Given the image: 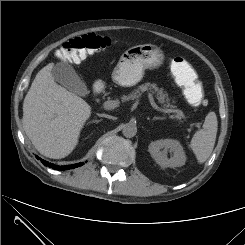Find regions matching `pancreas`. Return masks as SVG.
I'll use <instances>...</instances> for the list:
<instances>
[{"label": "pancreas", "mask_w": 245, "mask_h": 245, "mask_svg": "<svg viewBox=\"0 0 245 245\" xmlns=\"http://www.w3.org/2000/svg\"><path fill=\"white\" fill-rule=\"evenodd\" d=\"M145 91H149L150 95H154L158 100V103L165 109H169L172 112L180 113L179 110L176 109V106L172 105L170 102V98L168 94L163 90V88H159L155 83H145L139 85L137 89H134L127 95H123L121 97L122 101H129L139 98Z\"/></svg>", "instance_id": "1"}]
</instances>
